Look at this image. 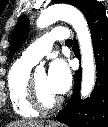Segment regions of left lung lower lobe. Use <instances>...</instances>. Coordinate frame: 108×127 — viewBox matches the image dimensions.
I'll return each instance as SVG.
<instances>
[{
    "label": "left lung lower lobe",
    "mask_w": 108,
    "mask_h": 127,
    "mask_svg": "<svg viewBox=\"0 0 108 127\" xmlns=\"http://www.w3.org/2000/svg\"><path fill=\"white\" fill-rule=\"evenodd\" d=\"M79 9L85 15L92 34L96 84L90 97L81 100V69L76 71L71 99L56 119L70 127H108V18L104 6L97 0H83ZM75 48L79 58L76 41Z\"/></svg>",
    "instance_id": "left-lung-lower-lobe-1"
}]
</instances>
